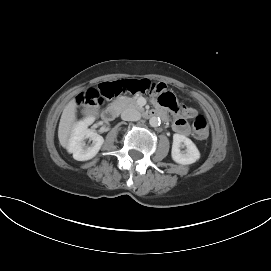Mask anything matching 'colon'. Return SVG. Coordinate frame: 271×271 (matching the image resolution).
<instances>
[{"label":"colon","mask_w":271,"mask_h":271,"mask_svg":"<svg viewBox=\"0 0 271 271\" xmlns=\"http://www.w3.org/2000/svg\"><path fill=\"white\" fill-rule=\"evenodd\" d=\"M123 93L150 94L156 101L169 109L178 110L175 96L166 89H157L154 82L147 79H120L104 82L96 87H91L77 96V103L83 107H97L104 98H112ZM190 113V109H186ZM194 136L197 139H205L208 136V125L202 115H198L193 121Z\"/></svg>","instance_id":"5ec220e1"}]
</instances>
